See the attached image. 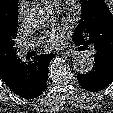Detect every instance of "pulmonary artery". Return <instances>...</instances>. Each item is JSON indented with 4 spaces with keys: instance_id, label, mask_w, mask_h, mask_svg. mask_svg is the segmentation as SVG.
<instances>
[{
    "instance_id": "pulmonary-artery-1",
    "label": "pulmonary artery",
    "mask_w": 113,
    "mask_h": 113,
    "mask_svg": "<svg viewBox=\"0 0 113 113\" xmlns=\"http://www.w3.org/2000/svg\"><path fill=\"white\" fill-rule=\"evenodd\" d=\"M32 49H33V45L31 44H24V45L19 46V50L22 53H26L27 51H30Z\"/></svg>"
}]
</instances>
